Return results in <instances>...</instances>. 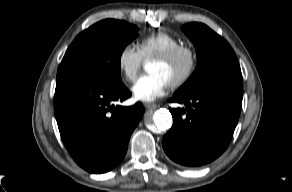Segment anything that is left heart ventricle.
<instances>
[{"label": "left heart ventricle", "mask_w": 292, "mask_h": 192, "mask_svg": "<svg viewBox=\"0 0 292 192\" xmlns=\"http://www.w3.org/2000/svg\"><path fill=\"white\" fill-rule=\"evenodd\" d=\"M187 64L188 58L182 55L175 61L168 63L151 60L147 65V70L162 75L170 83L185 71Z\"/></svg>", "instance_id": "b2bd125f"}]
</instances>
